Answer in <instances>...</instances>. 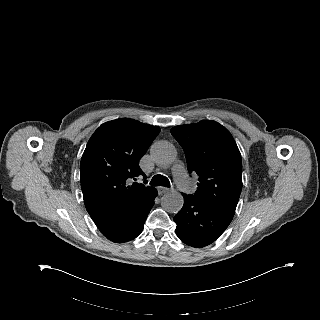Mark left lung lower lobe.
Returning <instances> with one entry per match:
<instances>
[{
  "label": "left lung lower lobe",
  "mask_w": 320,
  "mask_h": 320,
  "mask_svg": "<svg viewBox=\"0 0 320 320\" xmlns=\"http://www.w3.org/2000/svg\"><path fill=\"white\" fill-rule=\"evenodd\" d=\"M183 197L184 205L174 217L177 236L192 247L211 244L225 231L233 216L193 195Z\"/></svg>",
  "instance_id": "1"
}]
</instances>
